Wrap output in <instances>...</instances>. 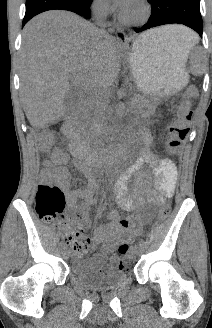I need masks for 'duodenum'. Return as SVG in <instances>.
Instances as JSON below:
<instances>
[{
	"mask_svg": "<svg viewBox=\"0 0 212 328\" xmlns=\"http://www.w3.org/2000/svg\"><path fill=\"white\" fill-rule=\"evenodd\" d=\"M86 97L89 94H85ZM75 118L76 113H72L63 123V130L65 134L69 137L71 142V149L75 157L77 158L80 167L88 172L89 166L87 163V154H88V146L83 138L77 133L75 127Z\"/></svg>",
	"mask_w": 212,
	"mask_h": 328,
	"instance_id": "410a0bca",
	"label": "duodenum"
}]
</instances>
